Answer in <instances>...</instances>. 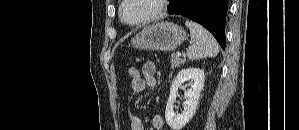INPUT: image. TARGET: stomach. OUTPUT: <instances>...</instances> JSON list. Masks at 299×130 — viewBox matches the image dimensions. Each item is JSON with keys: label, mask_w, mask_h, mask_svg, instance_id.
<instances>
[{"label": "stomach", "mask_w": 299, "mask_h": 130, "mask_svg": "<svg viewBox=\"0 0 299 130\" xmlns=\"http://www.w3.org/2000/svg\"><path fill=\"white\" fill-rule=\"evenodd\" d=\"M186 39L185 30L172 22H160L144 28L131 39L136 49L173 51Z\"/></svg>", "instance_id": "obj_1"}]
</instances>
